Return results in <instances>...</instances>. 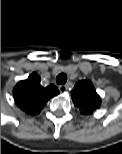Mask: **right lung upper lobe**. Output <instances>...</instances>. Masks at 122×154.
<instances>
[{
  "instance_id": "right-lung-upper-lobe-1",
  "label": "right lung upper lobe",
  "mask_w": 122,
  "mask_h": 154,
  "mask_svg": "<svg viewBox=\"0 0 122 154\" xmlns=\"http://www.w3.org/2000/svg\"><path fill=\"white\" fill-rule=\"evenodd\" d=\"M40 80L37 73H32L26 80L18 82L13 91L16 104L31 115L38 114L51 97L59 94L54 85L42 87Z\"/></svg>"
}]
</instances>
